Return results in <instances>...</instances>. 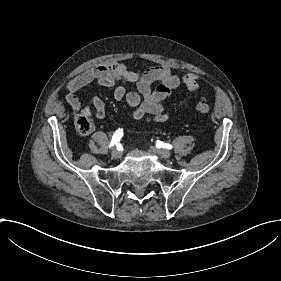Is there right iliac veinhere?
<instances>
[{
    "label": "right iliac vein",
    "mask_w": 281,
    "mask_h": 281,
    "mask_svg": "<svg viewBox=\"0 0 281 281\" xmlns=\"http://www.w3.org/2000/svg\"><path fill=\"white\" fill-rule=\"evenodd\" d=\"M112 157H113V159H115V160L120 159V157H121L120 151H118V150L113 151Z\"/></svg>",
    "instance_id": "63e3f726"
}]
</instances>
